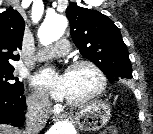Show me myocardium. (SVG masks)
Wrapping results in <instances>:
<instances>
[{
    "mask_svg": "<svg viewBox=\"0 0 153 134\" xmlns=\"http://www.w3.org/2000/svg\"><path fill=\"white\" fill-rule=\"evenodd\" d=\"M79 67L90 68L95 73V75L98 79V85L92 93H90L89 95H87L86 97H84L80 100H75V101L66 100V103L72 107H79V106H82V105L90 102L91 100L98 97L105 90V88L107 86V77H106L104 71L101 69V67L97 63H95L94 61L89 60V59L76 60L69 65L68 71L74 70Z\"/></svg>",
    "mask_w": 153,
    "mask_h": 134,
    "instance_id": "myocardium-1",
    "label": "myocardium"
}]
</instances>
